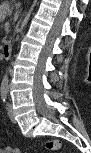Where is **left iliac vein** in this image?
Instances as JSON below:
<instances>
[{"mask_svg":"<svg viewBox=\"0 0 91 153\" xmlns=\"http://www.w3.org/2000/svg\"><path fill=\"white\" fill-rule=\"evenodd\" d=\"M7 111H8V115H9L10 120L13 123H16V120L14 118V113H13L12 105L10 103H8V105H7Z\"/></svg>","mask_w":91,"mask_h":153,"instance_id":"left-iliac-vein-1","label":"left iliac vein"}]
</instances>
